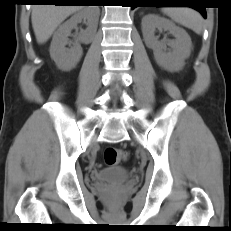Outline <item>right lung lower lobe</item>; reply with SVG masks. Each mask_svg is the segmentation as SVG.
<instances>
[{"mask_svg": "<svg viewBox=\"0 0 231 231\" xmlns=\"http://www.w3.org/2000/svg\"><path fill=\"white\" fill-rule=\"evenodd\" d=\"M31 1L34 3H52L55 5H70L73 3H79L77 1H82V0H31Z\"/></svg>", "mask_w": 231, "mask_h": 231, "instance_id": "right-lung-lower-lobe-1", "label": "right lung lower lobe"}]
</instances>
